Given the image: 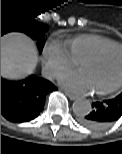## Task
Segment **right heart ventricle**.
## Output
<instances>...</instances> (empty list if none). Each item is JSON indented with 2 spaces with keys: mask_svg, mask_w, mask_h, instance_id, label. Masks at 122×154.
I'll return each mask as SVG.
<instances>
[{
  "mask_svg": "<svg viewBox=\"0 0 122 154\" xmlns=\"http://www.w3.org/2000/svg\"><path fill=\"white\" fill-rule=\"evenodd\" d=\"M65 44L77 62L84 56L95 53L108 46L116 45L111 39L96 34H83L72 37L67 39Z\"/></svg>",
  "mask_w": 122,
  "mask_h": 154,
  "instance_id": "e07e8e85",
  "label": "right heart ventricle"
}]
</instances>
